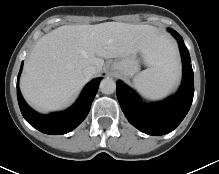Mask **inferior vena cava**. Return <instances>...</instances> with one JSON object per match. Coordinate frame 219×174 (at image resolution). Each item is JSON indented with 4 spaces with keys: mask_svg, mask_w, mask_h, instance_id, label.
<instances>
[{
    "mask_svg": "<svg viewBox=\"0 0 219 174\" xmlns=\"http://www.w3.org/2000/svg\"><path fill=\"white\" fill-rule=\"evenodd\" d=\"M83 73L87 79H90L96 73V68L94 66H87L84 68Z\"/></svg>",
    "mask_w": 219,
    "mask_h": 174,
    "instance_id": "1",
    "label": "inferior vena cava"
}]
</instances>
